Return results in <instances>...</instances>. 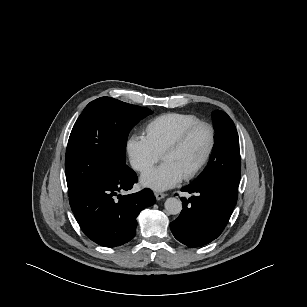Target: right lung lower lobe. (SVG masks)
<instances>
[{
	"mask_svg": "<svg viewBox=\"0 0 307 307\" xmlns=\"http://www.w3.org/2000/svg\"><path fill=\"white\" fill-rule=\"evenodd\" d=\"M137 182L136 173L128 166L115 175L69 197L74 216L92 241L104 247H116L136 234V217L155 203L149 189L121 196Z\"/></svg>",
	"mask_w": 307,
	"mask_h": 307,
	"instance_id": "1",
	"label": "right lung lower lobe"
}]
</instances>
